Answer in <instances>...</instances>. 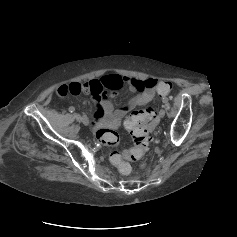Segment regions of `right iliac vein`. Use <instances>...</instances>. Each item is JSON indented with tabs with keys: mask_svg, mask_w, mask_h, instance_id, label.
Wrapping results in <instances>:
<instances>
[{
	"mask_svg": "<svg viewBox=\"0 0 237 237\" xmlns=\"http://www.w3.org/2000/svg\"><path fill=\"white\" fill-rule=\"evenodd\" d=\"M81 120L84 125H89V119L86 116H83Z\"/></svg>",
	"mask_w": 237,
	"mask_h": 237,
	"instance_id": "63e3f726",
	"label": "right iliac vein"
}]
</instances>
